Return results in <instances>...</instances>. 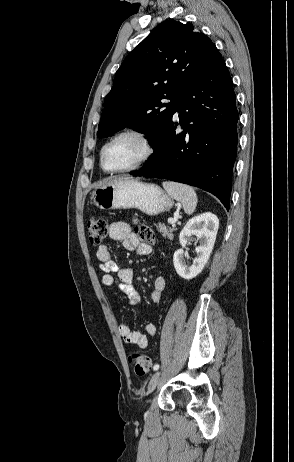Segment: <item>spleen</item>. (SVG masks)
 I'll return each instance as SVG.
<instances>
[{
	"mask_svg": "<svg viewBox=\"0 0 294 462\" xmlns=\"http://www.w3.org/2000/svg\"><path fill=\"white\" fill-rule=\"evenodd\" d=\"M162 185L170 197L181 202L185 213L190 215L195 211L198 199L192 187L170 181L163 182Z\"/></svg>",
	"mask_w": 294,
	"mask_h": 462,
	"instance_id": "spleen-1",
	"label": "spleen"
}]
</instances>
